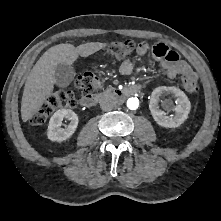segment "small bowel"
I'll return each instance as SVG.
<instances>
[{
  "instance_id": "1",
  "label": "small bowel",
  "mask_w": 221,
  "mask_h": 221,
  "mask_svg": "<svg viewBox=\"0 0 221 221\" xmlns=\"http://www.w3.org/2000/svg\"><path fill=\"white\" fill-rule=\"evenodd\" d=\"M149 50L146 42L138 44L137 53L144 56ZM153 56L160 62L161 67L165 70L169 79H174L178 75L187 76L193 74L192 68L179 55L170 50L164 43L156 44L152 49ZM120 72L124 75L130 74L134 69V63L130 59L124 60L120 65Z\"/></svg>"
}]
</instances>
